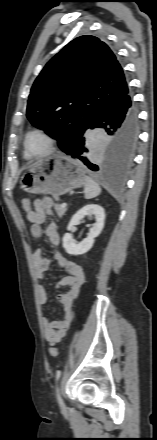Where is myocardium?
I'll return each mask as SVG.
<instances>
[{
    "mask_svg": "<svg viewBox=\"0 0 157 440\" xmlns=\"http://www.w3.org/2000/svg\"><path fill=\"white\" fill-rule=\"evenodd\" d=\"M32 134H39L45 138V140L47 141V149L45 152H43L41 154H37V155L30 154V152L28 150L27 142H28L29 136ZM55 146H56V139L54 138V136L50 132H48L46 129L40 128V127H36V128L29 130L25 134V137L23 140L24 152L26 155H30V156L40 157V156L48 155L55 149Z\"/></svg>",
    "mask_w": 157,
    "mask_h": 440,
    "instance_id": "f54148a6",
    "label": "myocardium"
}]
</instances>
